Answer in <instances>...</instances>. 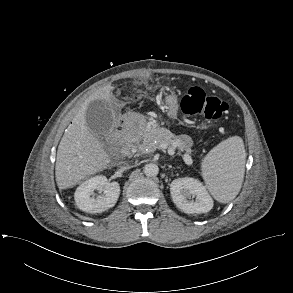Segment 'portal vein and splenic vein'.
<instances>
[{
    "label": "portal vein and splenic vein",
    "mask_w": 293,
    "mask_h": 293,
    "mask_svg": "<svg viewBox=\"0 0 293 293\" xmlns=\"http://www.w3.org/2000/svg\"><path fill=\"white\" fill-rule=\"evenodd\" d=\"M167 147H168V145L166 143L160 144V148H162V149H166ZM187 157H188V155H185V158H187Z\"/></svg>",
    "instance_id": "obj_1"
}]
</instances>
